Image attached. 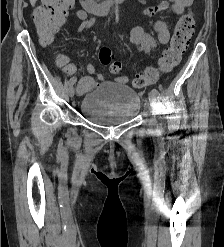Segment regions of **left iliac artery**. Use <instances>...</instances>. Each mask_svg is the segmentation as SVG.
Wrapping results in <instances>:
<instances>
[{"label":"left iliac artery","mask_w":224,"mask_h":247,"mask_svg":"<svg viewBox=\"0 0 224 247\" xmlns=\"http://www.w3.org/2000/svg\"><path fill=\"white\" fill-rule=\"evenodd\" d=\"M151 92H152L157 98L160 97V93L158 92L157 89L154 88V89L151 90Z\"/></svg>","instance_id":"44dca946"}]
</instances>
